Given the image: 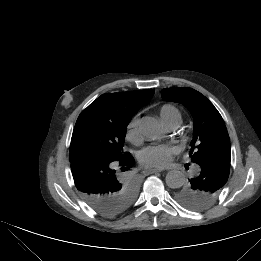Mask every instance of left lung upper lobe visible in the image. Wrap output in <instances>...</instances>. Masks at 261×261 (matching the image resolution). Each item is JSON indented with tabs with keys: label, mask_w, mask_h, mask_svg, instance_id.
<instances>
[{
	"label": "left lung upper lobe",
	"mask_w": 261,
	"mask_h": 261,
	"mask_svg": "<svg viewBox=\"0 0 261 261\" xmlns=\"http://www.w3.org/2000/svg\"><path fill=\"white\" fill-rule=\"evenodd\" d=\"M162 98L166 101L181 103L189 109L194 118L193 139L189 152L191 161L200 164L213 160L215 164L230 161V139L225 123L213 104L201 93L191 88H164ZM222 191L206 195L193 188L190 183L181 186L175 194L178 202L192 210H203L209 207Z\"/></svg>",
	"instance_id": "obj_1"
}]
</instances>
